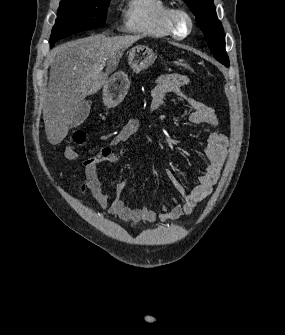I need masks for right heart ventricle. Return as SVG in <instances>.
<instances>
[{
  "label": "right heart ventricle",
  "mask_w": 285,
  "mask_h": 335,
  "mask_svg": "<svg viewBox=\"0 0 285 335\" xmlns=\"http://www.w3.org/2000/svg\"><path fill=\"white\" fill-rule=\"evenodd\" d=\"M130 24L141 37L164 39L171 35L172 10L166 1H135Z\"/></svg>",
  "instance_id": "1"
}]
</instances>
